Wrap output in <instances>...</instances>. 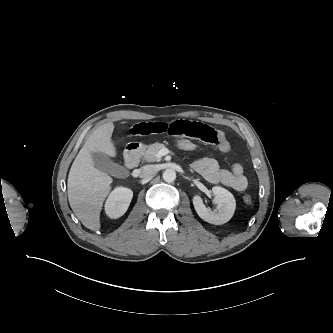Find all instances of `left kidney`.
<instances>
[{
	"instance_id": "left-kidney-1",
	"label": "left kidney",
	"mask_w": 333,
	"mask_h": 333,
	"mask_svg": "<svg viewBox=\"0 0 333 333\" xmlns=\"http://www.w3.org/2000/svg\"><path fill=\"white\" fill-rule=\"evenodd\" d=\"M212 192L215 196L214 202L217 204L214 210L207 208L199 195L193 197V205L201 219L210 224L222 225L228 222L234 214L235 198L228 190L219 186L213 187Z\"/></svg>"
}]
</instances>
